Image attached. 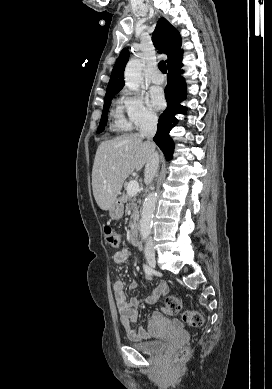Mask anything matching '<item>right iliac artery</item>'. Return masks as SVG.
I'll list each match as a JSON object with an SVG mask.
<instances>
[{"label": "right iliac artery", "mask_w": 272, "mask_h": 389, "mask_svg": "<svg viewBox=\"0 0 272 389\" xmlns=\"http://www.w3.org/2000/svg\"><path fill=\"white\" fill-rule=\"evenodd\" d=\"M143 269H144L148 279H150L151 276L153 275V270L147 264L143 265Z\"/></svg>", "instance_id": "obj_1"}]
</instances>
